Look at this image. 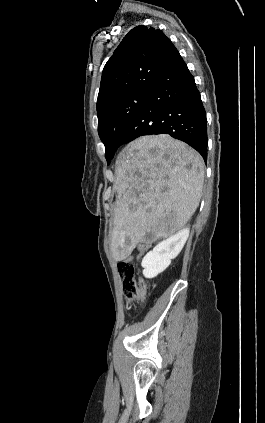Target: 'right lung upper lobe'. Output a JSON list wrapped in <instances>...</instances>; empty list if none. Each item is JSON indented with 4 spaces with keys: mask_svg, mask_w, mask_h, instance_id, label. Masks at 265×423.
<instances>
[{
    "mask_svg": "<svg viewBox=\"0 0 265 423\" xmlns=\"http://www.w3.org/2000/svg\"><path fill=\"white\" fill-rule=\"evenodd\" d=\"M177 54L161 30L143 25L133 28L103 69L97 115L135 91L151 89Z\"/></svg>",
    "mask_w": 265,
    "mask_h": 423,
    "instance_id": "1",
    "label": "right lung upper lobe"
}]
</instances>
